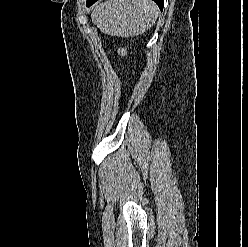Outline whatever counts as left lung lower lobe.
Here are the masks:
<instances>
[{"label": "left lung lower lobe", "mask_w": 248, "mask_h": 247, "mask_svg": "<svg viewBox=\"0 0 248 247\" xmlns=\"http://www.w3.org/2000/svg\"><path fill=\"white\" fill-rule=\"evenodd\" d=\"M97 0H87L86 1V6H91L92 4H94ZM154 2H156V4L158 5V7L160 8V10L163 9L164 6V0H153Z\"/></svg>", "instance_id": "1"}]
</instances>
